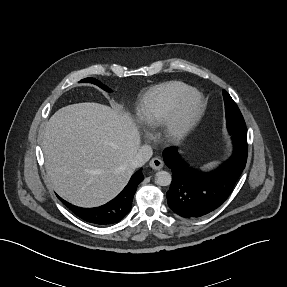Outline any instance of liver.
Masks as SVG:
<instances>
[{"label":"liver","instance_id":"6515ba94","mask_svg":"<svg viewBox=\"0 0 287 287\" xmlns=\"http://www.w3.org/2000/svg\"><path fill=\"white\" fill-rule=\"evenodd\" d=\"M140 143L128 114L98 103L65 106L52 115L43 134L49 182L74 205L105 204L129 181Z\"/></svg>","mask_w":287,"mask_h":287}]
</instances>
